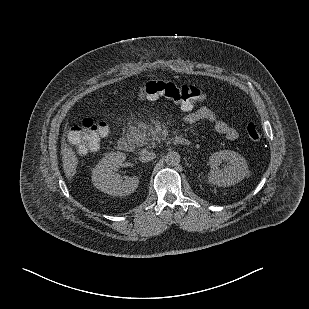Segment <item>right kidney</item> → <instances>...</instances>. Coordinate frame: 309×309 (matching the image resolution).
<instances>
[{"label": "right kidney", "instance_id": "1", "mask_svg": "<svg viewBox=\"0 0 309 309\" xmlns=\"http://www.w3.org/2000/svg\"><path fill=\"white\" fill-rule=\"evenodd\" d=\"M126 159L125 153L115 152L103 158L93 169L92 181L100 191L112 196H125L136 191L139 185L137 176L123 178L116 173Z\"/></svg>", "mask_w": 309, "mask_h": 309}]
</instances>
